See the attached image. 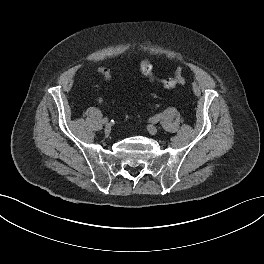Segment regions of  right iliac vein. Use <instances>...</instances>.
Wrapping results in <instances>:
<instances>
[{"label": "right iliac vein", "mask_w": 264, "mask_h": 264, "mask_svg": "<svg viewBox=\"0 0 264 264\" xmlns=\"http://www.w3.org/2000/svg\"><path fill=\"white\" fill-rule=\"evenodd\" d=\"M110 131H111V127H110V125H106V126H105V129H104L105 134H106V135H109V134H110Z\"/></svg>", "instance_id": "obj_1"}]
</instances>
